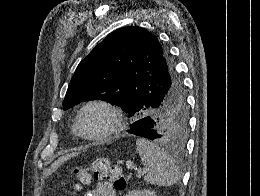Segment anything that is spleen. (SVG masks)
Wrapping results in <instances>:
<instances>
[{
	"label": "spleen",
	"instance_id": "spleen-1",
	"mask_svg": "<svg viewBox=\"0 0 260 196\" xmlns=\"http://www.w3.org/2000/svg\"><path fill=\"white\" fill-rule=\"evenodd\" d=\"M136 150L147 170L144 176L145 182L155 186H173L178 182V166L163 148L148 142L145 138H139L136 140Z\"/></svg>",
	"mask_w": 260,
	"mask_h": 196
}]
</instances>
